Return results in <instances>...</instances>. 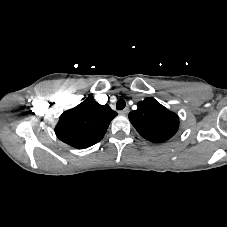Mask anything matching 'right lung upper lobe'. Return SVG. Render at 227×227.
Wrapping results in <instances>:
<instances>
[{"label": "right lung upper lobe", "instance_id": "1", "mask_svg": "<svg viewBox=\"0 0 227 227\" xmlns=\"http://www.w3.org/2000/svg\"><path fill=\"white\" fill-rule=\"evenodd\" d=\"M117 116L109 105H100L88 97L78 106L62 113L55 127L57 137L75 148H87L99 142L111 120Z\"/></svg>", "mask_w": 227, "mask_h": 227}]
</instances>
